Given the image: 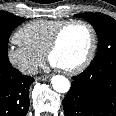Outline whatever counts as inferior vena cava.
Returning a JSON list of instances; mask_svg holds the SVG:
<instances>
[{"instance_id": "obj_1", "label": "inferior vena cava", "mask_w": 116, "mask_h": 116, "mask_svg": "<svg viewBox=\"0 0 116 116\" xmlns=\"http://www.w3.org/2000/svg\"><path fill=\"white\" fill-rule=\"evenodd\" d=\"M27 74L35 75L38 73V67L36 65H29L23 69Z\"/></svg>"}]
</instances>
